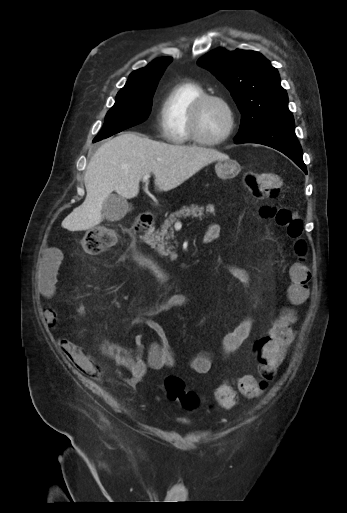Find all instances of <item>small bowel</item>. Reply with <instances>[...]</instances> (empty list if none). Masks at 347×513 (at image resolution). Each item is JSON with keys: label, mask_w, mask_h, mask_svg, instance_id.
I'll return each instance as SVG.
<instances>
[{"label": "small bowel", "mask_w": 347, "mask_h": 513, "mask_svg": "<svg viewBox=\"0 0 347 513\" xmlns=\"http://www.w3.org/2000/svg\"><path fill=\"white\" fill-rule=\"evenodd\" d=\"M206 234H214L216 236L215 240H217L220 237V227L217 224H211L208 226ZM59 264L60 255L57 251H54L47 256L39 270L38 286L40 293L46 299H52L55 296ZM228 271L244 286L250 285V275L243 268L230 265ZM191 303L188 294L176 293L160 302L145 316L133 319L134 322L144 323L152 330L158 338L157 341H147L144 335H138L134 339V348L120 345L107 346V355L131 373V384H137L149 369L160 370L173 368L176 365V358L169 336L164 327L153 317L175 307L190 306ZM77 310L82 316L89 315L88 307L82 303L78 304ZM44 317L49 325H53L57 320V313L55 309L48 307L45 310ZM252 327L253 318L247 316L231 332L224 335L221 343L223 355L230 356L238 351L250 337ZM260 342L255 344L256 348H258ZM59 345L64 354L72 359L83 372L93 376L99 375L97 368L85 357L79 347L65 339L61 340ZM189 365L196 373L206 374L210 372L213 365V352L209 350L196 352L190 358Z\"/></svg>", "instance_id": "small-bowel-1"}]
</instances>
